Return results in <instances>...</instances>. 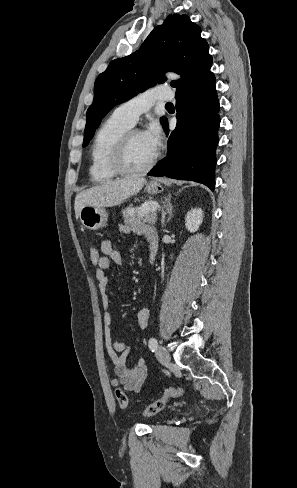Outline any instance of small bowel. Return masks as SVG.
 <instances>
[{
  "label": "small bowel",
  "mask_w": 297,
  "mask_h": 488,
  "mask_svg": "<svg viewBox=\"0 0 297 488\" xmlns=\"http://www.w3.org/2000/svg\"><path fill=\"white\" fill-rule=\"evenodd\" d=\"M119 231L124 235L133 233L141 237L148 246L151 264L154 262L158 248V236L152 228L143 225L128 226L123 224L119 226ZM100 250L102 255L95 277L98 282L104 311L105 346L117 376L111 383L113 386L122 385L129 392L138 393L147 378L145 361L140 358L134 364L130 365L128 363V357L131 352V345L114 341L111 332V299L107 293L109 285L107 271L111 268L112 264L119 265L122 263V255L109 240H103L101 242ZM149 318L150 310L148 308L141 309L137 314L138 325L141 328H147Z\"/></svg>",
  "instance_id": "small-bowel-1"
}]
</instances>
